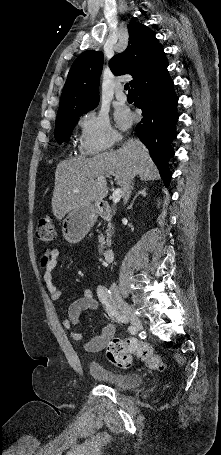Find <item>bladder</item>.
I'll list each match as a JSON object with an SVG mask.
<instances>
[{"label":"bladder","mask_w":221,"mask_h":455,"mask_svg":"<svg viewBox=\"0 0 221 455\" xmlns=\"http://www.w3.org/2000/svg\"><path fill=\"white\" fill-rule=\"evenodd\" d=\"M88 371L92 377L120 390L134 389L142 383L138 374L119 372L96 361L89 362Z\"/></svg>","instance_id":"31cf9c89"}]
</instances>
